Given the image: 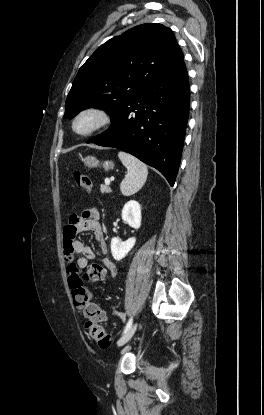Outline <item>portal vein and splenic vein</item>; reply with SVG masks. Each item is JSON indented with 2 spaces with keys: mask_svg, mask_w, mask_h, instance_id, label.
Segmentation results:
<instances>
[{
  "mask_svg": "<svg viewBox=\"0 0 264 415\" xmlns=\"http://www.w3.org/2000/svg\"><path fill=\"white\" fill-rule=\"evenodd\" d=\"M105 183H106L107 185H109V184H110V180H109V179H106V180H105Z\"/></svg>",
  "mask_w": 264,
  "mask_h": 415,
  "instance_id": "portal-vein-and-splenic-vein-1",
  "label": "portal vein and splenic vein"
}]
</instances>
